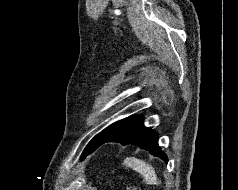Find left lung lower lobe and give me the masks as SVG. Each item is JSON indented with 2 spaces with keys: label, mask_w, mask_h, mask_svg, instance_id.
Returning a JSON list of instances; mask_svg holds the SVG:
<instances>
[{
  "label": "left lung lower lobe",
  "mask_w": 238,
  "mask_h": 190,
  "mask_svg": "<svg viewBox=\"0 0 238 190\" xmlns=\"http://www.w3.org/2000/svg\"><path fill=\"white\" fill-rule=\"evenodd\" d=\"M143 115H133L115 122L106 134L101 145L107 142H117L122 145H138L148 150L152 155L168 162V158L158 145V134L143 124Z\"/></svg>",
  "instance_id": "0a47b994"
}]
</instances>
